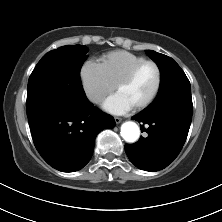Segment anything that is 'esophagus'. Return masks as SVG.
Here are the masks:
<instances>
[{
    "label": "esophagus",
    "instance_id": "obj_1",
    "mask_svg": "<svg viewBox=\"0 0 222 222\" xmlns=\"http://www.w3.org/2000/svg\"><path fill=\"white\" fill-rule=\"evenodd\" d=\"M114 120H115L116 124H119L122 121V118L115 117Z\"/></svg>",
    "mask_w": 222,
    "mask_h": 222
}]
</instances>
